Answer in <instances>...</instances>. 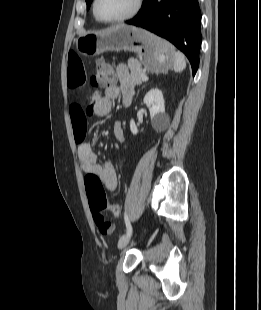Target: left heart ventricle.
<instances>
[{
	"label": "left heart ventricle",
	"instance_id": "b2bd125f",
	"mask_svg": "<svg viewBox=\"0 0 261 310\" xmlns=\"http://www.w3.org/2000/svg\"><path fill=\"white\" fill-rule=\"evenodd\" d=\"M135 0H98V14L106 19H114L126 15L134 6Z\"/></svg>",
	"mask_w": 261,
	"mask_h": 310
}]
</instances>
